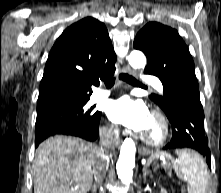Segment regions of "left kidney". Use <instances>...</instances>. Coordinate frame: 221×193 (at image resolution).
I'll return each mask as SVG.
<instances>
[{"instance_id":"1","label":"left kidney","mask_w":221,"mask_h":193,"mask_svg":"<svg viewBox=\"0 0 221 193\" xmlns=\"http://www.w3.org/2000/svg\"><path fill=\"white\" fill-rule=\"evenodd\" d=\"M161 193H167L165 189H161Z\"/></svg>"}]
</instances>
